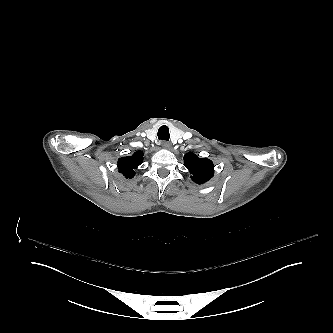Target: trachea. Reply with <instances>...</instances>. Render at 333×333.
<instances>
[{"instance_id":"3493384b","label":"trachea","mask_w":333,"mask_h":333,"mask_svg":"<svg viewBox=\"0 0 333 333\" xmlns=\"http://www.w3.org/2000/svg\"><path fill=\"white\" fill-rule=\"evenodd\" d=\"M169 138V128L166 125L161 126L158 130V139L169 140Z\"/></svg>"}]
</instances>
